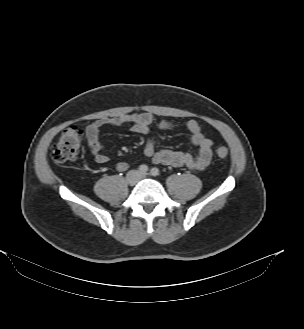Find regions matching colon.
I'll use <instances>...</instances> for the list:
<instances>
[{"label":"colon","mask_w":304,"mask_h":329,"mask_svg":"<svg viewBox=\"0 0 304 329\" xmlns=\"http://www.w3.org/2000/svg\"><path fill=\"white\" fill-rule=\"evenodd\" d=\"M83 133L75 127L67 128L59 137L51 153L52 161L55 164H63L75 160L79 148L82 144ZM229 151L225 146H219L216 149V155L224 159L228 156Z\"/></svg>","instance_id":"obj_1"}]
</instances>
